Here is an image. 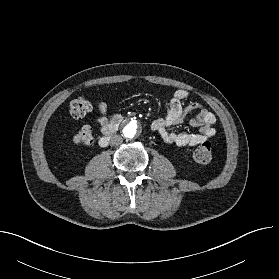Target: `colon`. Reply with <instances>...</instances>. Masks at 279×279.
<instances>
[{
    "label": "colon",
    "mask_w": 279,
    "mask_h": 279,
    "mask_svg": "<svg viewBox=\"0 0 279 279\" xmlns=\"http://www.w3.org/2000/svg\"><path fill=\"white\" fill-rule=\"evenodd\" d=\"M92 109V104L85 98H78L70 104L69 114L74 119L83 118ZM74 142L80 146H89L93 142L91 128L83 127L74 134ZM194 159L201 164L209 163L212 159L211 145L208 141L203 142L194 151Z\"/></svg>",
    "instance_id": "1"
}]
</instances>
